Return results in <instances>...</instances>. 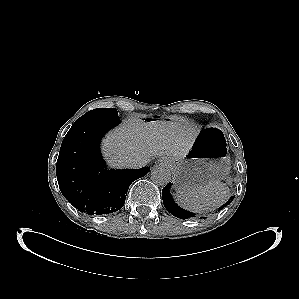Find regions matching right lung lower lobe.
<instances>
[{
  "label": "right lung lower lobe",
  "instance_id": "obj_1",
  "mask_svg": "<svg viewBox=\"0 0 299 299\" xmlns=\"http://www.w3.org/2000/svg\"><path fill=\"white\" fill-rule=\"evenodd\" d=\"M120 120L73 124L63 139L56 165L63 196L80 212L102 215L124 205L129 186L146 175L149 167L106 170L100 139Z\"/></svg>",
  "mask_w": 299,
  "mask_h": 299
}]
</instances>
